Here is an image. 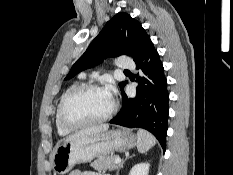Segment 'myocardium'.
Returning a JSON list of instances; mask_svg holds the SVG:
<instances>
[{
	"mask_svg": "<svg viewBox=\"0 0 233 175\" xmlns=\"http://www.w3.org/2000/svg\"><path fill=\"white\" fill-rule=\"evenodd\" d=\"M95 89H104V88L100 84L84 83V84H80V85L76 86L75 88H73L71 91H69L65 95V97L62 99V101L59 105V110H58L59 121L65 128H68L70 130H74V129H80V128L100 124L102 122L107 121L109 118H111L115 114V112L117 110V104H116L115 100L112 98L111 108L109 109V111L105 115H103L100 118L88 120V121H84V122H73L67 117L66 109H67L69 102L78 94H80L84 91L95 90Z\"/></svg>",
	"mask_w": 233,
	"mask_h": 175,
	"instance_id": "myocardium-1",
	"label": "myocardium"
}]
</instances>
